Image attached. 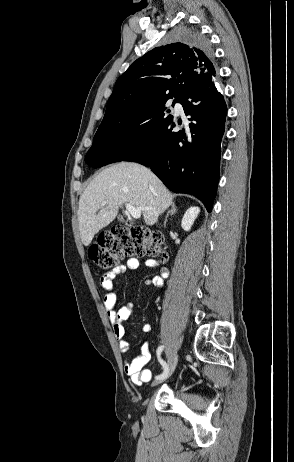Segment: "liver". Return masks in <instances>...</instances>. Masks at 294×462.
Returning <instances> with one entry per match:
<instances>
[{"mask_svg":"<svg viewBox=\"0 0 294 462\" xmlns=\"http://www.w3.org/2000/svg\"><path fill=\"white\" fill-rule=\"evenodd\" d=\"M173 195L146 167L120 162L102 170L79 199L78 222L82 243L89 246L95 234L108 226L126 203L140 208L152 226L171 204Z\"/></svg>","mask_w":294,"mask_h":462,"instance_id":"6515ba94","label":"liver"}]
</instances>
